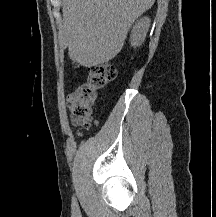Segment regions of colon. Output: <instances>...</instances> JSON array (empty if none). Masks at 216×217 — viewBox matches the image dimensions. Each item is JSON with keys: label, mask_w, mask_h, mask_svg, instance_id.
<instances>
[{"label": "colon", "mask_w": 216, "mask_h": 217, "mask_svg": "<svg viewBox=\"0 0 216 217\" xmlns=\"http://www.w3.org/2000/svg\"><path fill=\"white\" fill-rule=\"evenodd\" d=\"M116 76V69L110 63L92 66L88 69L87 80L79 84L71 94V122L76 127L88 128L92 120V109L98 91Z\"/></svg>", "instance_id": "colon-1"}]
</instances>
